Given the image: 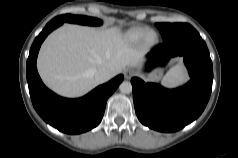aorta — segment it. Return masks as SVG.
<instances>
[{"mask_svg":"<svg viewBox=\"0 0 238 158\" xmlns=\"http://www.w3.org/2000/svg\"><path fill=\"white\" fill-rule=\"evenodd\" d=\"M119 89L122 93L128 94L132 92V85L128 81H124L120 84Z\"/></svg>","mask_w":238,"mask_h":158,"instance_id":"aorta-1","label":"aorta"}]
</instances>
